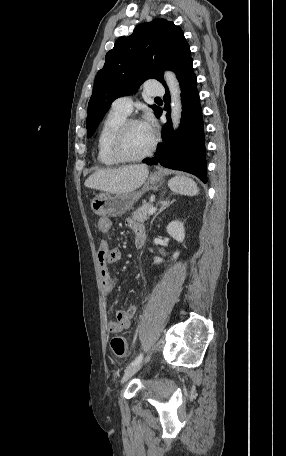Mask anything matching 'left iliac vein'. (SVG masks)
Instances as JSON below:
<instances>
[{
	"label": "left iliac vein",
	"mask_w": 286,
	"mask_h": 456,
	"mask_svg": "<svg viewBox=\"0 0 286 456\" xmlns=\"http://www.w3.org/2000/svg\"><path fill=\"white\" fill-rule=\"evenodd\" d=\"M149 359H150V355L146 358L145 362L149 361ZM142 366H143V363H141V362L136 365L129 366L124 372V375L121 379V383H124L129 378H131L135 373H137L141 369Z\"/></svg>",
	"instance_id": "4c4485c4"
}]
</instances>
